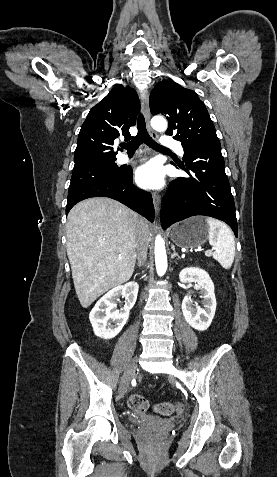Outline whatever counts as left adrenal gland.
I'll return each instance as SVG.
<instances>
[{"mask_svg": "<svg viewBox=\"0 0 277 477\" xmlns=\"http://www.w3.org/2000/svg\"><path fill=\"white\" fill-rule=\"evenodd\" d=\"M171 248L173 250V254L171 255V258L173 259V258L177 257L178 259H180V256L175 251L174 245H172Z\"/></svg>", "mask_w": 277, "mask_h": 477, "instance_id": "left-adrenal-gland-1", "label": "left adrenal gland"}]
</instances>
